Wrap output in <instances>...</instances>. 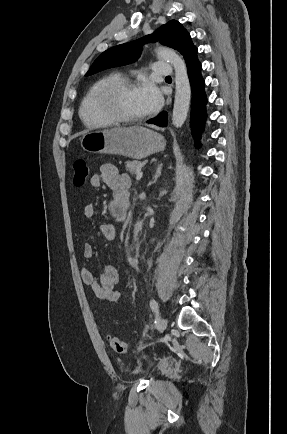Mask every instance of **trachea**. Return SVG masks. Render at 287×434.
I'll list each match as a JSON object with an SVG mask.
<instances>
[{
    "instance_id": "3493384b",
    "label": "trachea",
    "mask_w": 287,
    "mask_h": 434,
    "mask_svg": "<svg viewBox=\"0 0 287 434\" xmlns=\"http://www.w3.org/2000/svg\"><path fill=\"white\" fill-rule=\"evenodd\" d=\"M166 78H171L170 76H167Z\"/></svg>"
}]
</instances>
